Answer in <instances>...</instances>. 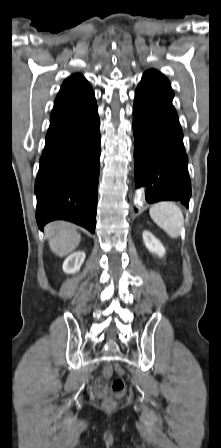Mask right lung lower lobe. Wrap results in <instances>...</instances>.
<instances>
[{"mask_svg": "<svg viewBox=\"0 0 221 448\" xmlns=\"http://www.w3.org/2000/svg\"><path fill=\"white\" fill-rule=\"evenodd\" d=\"M100 140L94 92L51 115L35 181L40 229L52 220L63 219L94 233Z\"/></svg>", "mask_w": 221, "mask_h": 448, "instance_id": "1", "label": "right lung lower lobe"}]
</instances>
